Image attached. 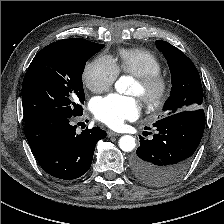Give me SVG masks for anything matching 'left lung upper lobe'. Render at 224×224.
<instances>
[{
	"label": "left lung upper lobe",
	"instance_id": "obj_1",
	"mask_svg": "<svg viewBox=\"0 0 224 224\" xmlns=\"http://www.w3.org/2000/svg\"><path fill=\"white\" fill-rule=\"evenodd\" d=\"M156 46L166 58L172 75L171 94L163 110L168 112L167 115H171L201 108L203 89L193 62L182 51L166 41L158 40Z\"/></svg>",
	"mask_w": 224,
	"mask_h": 224
}]
</instances>
